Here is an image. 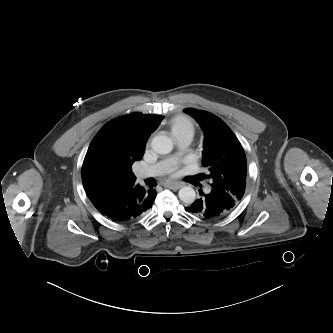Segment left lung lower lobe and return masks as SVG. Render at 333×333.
Returning a JSON list of instances; mask_svg holds the SVG:
<instances>
[{"label":"left lung lower lobe","instance_id":"0a47b994","mask_svg":"<svg viewBox=\"0 0 333 333\" xmlns=\"http://www.w3.org/2000/svg\"><path fill=\"white\" fill-rule=\"evenodd\" d=\"M201 195L199 199L185 209L204 220H218L229 214L237 206L234 198L222 190L211 188L205 194L201 192Z\"/></svg>","mask_w":333,"mask_h":333}]
</instances>
